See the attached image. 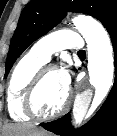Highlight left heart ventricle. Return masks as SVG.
<instances>
[{
	"label": "left heart ventricle",
	"mask_w": 117,
	"mask_h": 136,
	"mask_svg": "<svg viewBox=\"0 0 117 136\" xmlns=\"http://www.w3.org/2000/svg\"><path fill=\"white\" fill-rule=\"evenodd\" d=\"M67 91L60 83L58 71H50L36 94V107L43 115L57 111L63 104Z\"/></svg>",
	"instance_id": "obj_1"
}]
</instances>
